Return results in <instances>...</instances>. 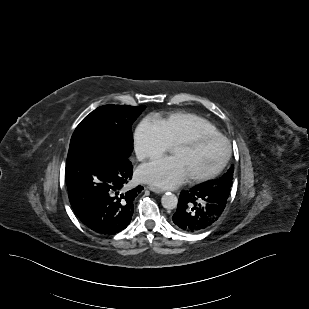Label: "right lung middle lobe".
Masks as SVG:
<instances>
[{
	"label": "right lung middle lobe",
	"mask_w": 309,
	"mask_h": 309,
	"mask_svg": "<svg viewBox=\"0 0 309 309\" xmlns=\"http://www.w3.org/2000/svg\"><path fill=\"white\" fill-rule=\"evenodd\" d=\"M145 108L112 104L98 107L77 126L70 146L86 140H101L129 156L133 151L131 126Z\"/></svg>",
	"instance_id": "obj_1"
}]
</instances>
